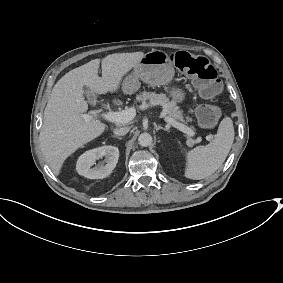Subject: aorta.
Segmentation results:
<instances>
[{"mask_svg":"<svg viewBox=\"0 0 283 283\" xmlns=\"http://www.w3.org/2000/svg\"><path fill=\"white\" fill-rule=\"evenodd\" d=\"M152 137L149 133H141L138 137V143L142 147H147L151 144Z\"/></svg>","mask_w":283,"mask_h":283,"instance_id":"aorta-1","label":"aorta"}]
</instances>
